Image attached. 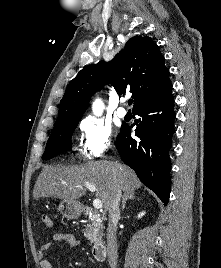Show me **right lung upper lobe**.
<instances>
[{
    "label": "right lung upper lobe",
    "instance_id": "1",
    "mask_svg": "<svg viewBox=\"0 0 221 268\" xmlns=\"http://www.w3.org/2000/svg\"><path fill=\"white\" fill-rule=\"evenodd\" d=\"M106 81L119 95L126 91L132 93L133 110L172 89L169 71L158 46L148 37L135 36L112 61L86 66L70 81L60 101L55 123L81 118L92 95L101 90Z\"/></svg>",
    "mask_w": 221,
    "mask_h": 268
}]
</instances>
